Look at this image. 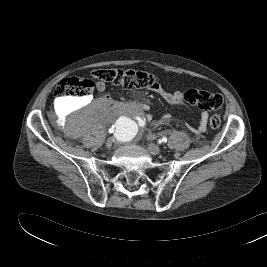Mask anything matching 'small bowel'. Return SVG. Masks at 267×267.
Listing matches in <instances>:
<instances>
[{"mask_svg":"<svg viewBox=\"0 0 267 267\" xmlns=\"http://www.w3.org/2000/svg\"><path fill=\"white\" fill-rule=\"evenodd\" d=\"M96 89L98 92L102 93L105 91V84L103 82H98ZM154 92L159 94L162 99L171 106H184L185 100H184V93L181 91H175V92H169L165 90L161 85H157L156 87L152 88ZM168 116H164L162 120L155 121L154 124L158 125L165 119H167ZM148 121L152 120V116L148 115L146 117ZM207 119H208V113L206 111L201 112L200 114V122L198 125V132H204L207 128Z\"/></svg>","mask_w":267,"mask_h":267,"instance_id":"obj_1","label":"small bowel"}]
</instances>
